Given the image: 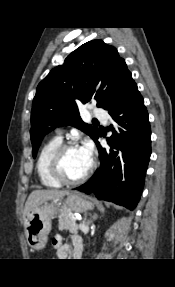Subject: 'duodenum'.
Returning a JSON list of instances; mask_svg holds the SVG:
<instances>
[{
	"label": "duodenum",
	"mask_w": 175,
	"mask_h": 287,
	"mask_svg": "<svg viewBox=\"0 0 175 287\" xmlns=\"http://www.w3.org/2000/svg\"><path fill=\"white\" fill-rule=\"evenodd\" d=\"M80 255H81V249H80V252L77 253V254H75L74 256H75V257H79Z\"/></svg>",
	"instance_id": "1"
}]
</instances>
